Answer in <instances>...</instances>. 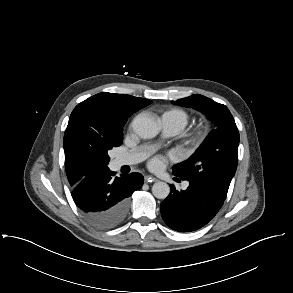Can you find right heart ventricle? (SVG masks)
Instances as JSON below:
<instances>
[{"mask_svg": "<svg viewBox=\"0 0 293 293\" xmlns=\"http://www.w3.org/2000/svg\"><path fill=\"white\" fill-rule=\"evenodd\" d=\"M163 115H171L180 131L188 125L191 119L190 114L186 110L180 108L170 109L164 112Z\"/></svg>", "mask_w": 293, "mask_h": 293, "instance_id": "e07e8e85", "label": "right heart ventricle"}]
</instances>
